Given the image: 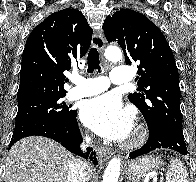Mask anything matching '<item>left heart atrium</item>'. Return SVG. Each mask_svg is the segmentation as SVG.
<instances>
[{"instance_id": "obj_1", "label": "left heart atrium", "mask_w": 196, "mask_h": 182, "mask_svg": "<svg viewBox=\"0 0 196 182\" xmlns=\"http://www.w3.org/2000/svg\"><path fill=\"white\" fill-rule=\"evenodd\" d=\"M82 122L96 134L111 140L126 138L133 129L134 115L114 93L86 100L80 111Z\"/></svg>"}]
</instances>
